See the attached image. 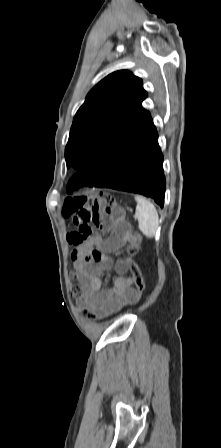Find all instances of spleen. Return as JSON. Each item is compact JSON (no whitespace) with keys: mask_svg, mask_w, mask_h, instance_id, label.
<instances>
[{"mask_svg":"<svg viewBox=\"0 0 221 448\" xmlns=\"http://www.w3.org/2000/svg\"><path fill=\"white\" fill-rule=\"evenodd\" d=\"M135 217L140 231L148 238H153L158 230L159 216L155 206L146 198L136 195Z\"/></svg>","mask_w":221,"mask_h":448,"instance_id":"spleen-1","label":"spleen"}]
</instances>
